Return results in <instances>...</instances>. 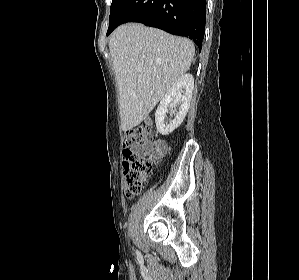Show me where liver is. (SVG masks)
<instances>
[{
  "instance_id": "obj_1",
  "label": "liver",
  "mask_w": 299,
  "mask_h": 280,
  "mask_svg": "<svg viewBox=\"0 0 299 280\" xmlns=\"http://www.w3.org/2000/svg\"><path fill=\"white\" fill-rule=\"evenodd\" d=\"M109 50L123 131L138 126L149 115L189 70L195 55L189 39L138 23L118 27L110 38Z\"/></svg>"
}]
</instances>
